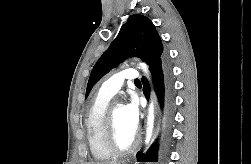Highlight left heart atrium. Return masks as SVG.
<instances>
[{
	"label": "left heart atrium",
	"instance_id": "left-heart-atrium-1",
	"mask_svg": "<svg viewBox=\"0 0 251 164\" xmlns=\"http://www.w3.org/2000/svg\"><path fill=\"white\" fill-rule=\"evenodd\" d=\"M124 112L129 127L136 132L139 124V108L137 102L132 99L124 106Z\"/></svg>",
	"mask_w": 251,
	"mask_h": 164
}]
</instances>
